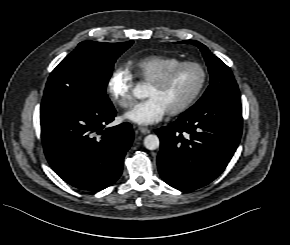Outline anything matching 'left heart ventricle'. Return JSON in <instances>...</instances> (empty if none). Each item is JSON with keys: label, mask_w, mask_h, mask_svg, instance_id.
Returning a JSON list of instances; mask_svg holds the SVG:
<instances>
[{"label": "left heart ventricle", "mask_w": 290, "mask_h": 245, "mask_svg": "<svg viewBox=\"0 0 290 245\" xmlns=\"http://www.w3.org/2000/svg\"><path fill=\"white\" fill-rule=\"evenodd\" d=\"M201 79L198 68L183 67L173 72L161 86L148 84L145 97L156 98L169 111L183 104L198 88Z\"/></svg>", "instance_id": "left-heart-ventricle-1"}]
</instances>
